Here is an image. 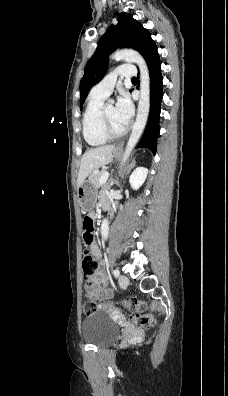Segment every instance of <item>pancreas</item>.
I'll return each instance as SVG.
<instances>
[{"instance_id":"cf45deb5","label":"pancreas","mask_w":228,"mask_h":396,"mask_svg":"<svg viewBox=\"0 0 228 396\" xmlns=\"http://www.w3.org/2000/svg\"><path fill=\"white\" fill-rule=\"evenodd\" d=\"M103 173H104V171H101V172H98V173L93 172L90 175L89 181L94 187L98 188L99 186H101L100 178L103 175Z\"/></svg>"}]
</instances>
